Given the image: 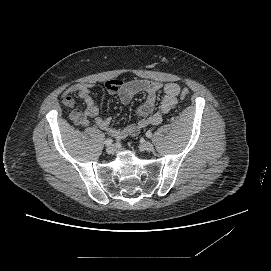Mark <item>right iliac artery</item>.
<instances>
[{"label":"right iliac artery","instance_id":"82829eb1","mask_svg":"<svg viewBox=\"0 0 271 271\" xmlns=\"http://www.w3.org/2000/svg\"><path fill=\"white\" fill-rule=\"evenodd\" d=\"M112 143H113V140H112L111 138H107V139L105 140L106 146H110Z\"/></svg>","mask_w":271,"mask_h":271}]
</instances>
